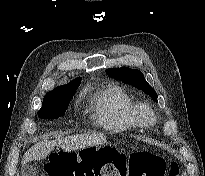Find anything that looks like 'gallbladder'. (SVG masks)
Listing matches in <instances>:
<instances>
[{"label": "gallbladder", "mask_w": 205, "mask_h": 176, "mask_svg": "<svg viewBox=\"0 0 205 176\" xmlns=\"http://www.w3.org/2000/svg\"><path fill=\"white\" fill-rule=\"evenodd\" d=\"M36 168L32 165H23L21 168V176H34Z\"/></svg>", "instance_id": "1"}]
</instances>
